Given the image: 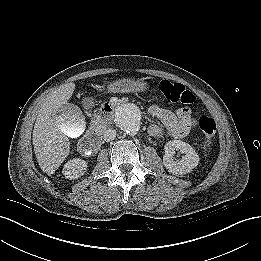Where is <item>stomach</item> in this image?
Segmentation results:
<instances>
[{"label":"stomach","instance_id":"stomach-1","mask_svg":"<svg viewBox=\"0 0 261 261\" xmlns=\"http://www.w3.org/2000/svg\"><path fill=\"white\" fill-rule=\"evenodd\" d=\"M146 88L147 83L143 80L121 79L109 83L104 90L110 93H129L144 91Z\"/></svg>","mask_w":261,"mask_h":261}]
</instances>
